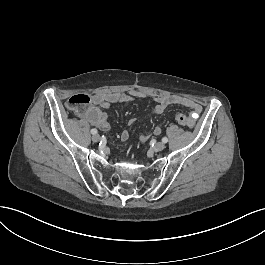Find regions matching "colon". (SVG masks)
<instances>
[{"instance_id": "5ec220e1", "label": "colon", "mask_w": 265, "mask_h": 265, "mask_svg": "<svg viewBox=\"0 0 265 265\" xmlns=\"http://www.w3.org/2000/svg\"><path fill=\"white\" fill-rule=\"evenodd\" d=\"M97 100V95L93 91H88L86 93H80L77 96H67L63 100V105L67 109L78 110L82 106H86L88 104H93ZM177 121L182 126H189L191 124V119L184 115L178 114Z\"/></svg>"}]
</instances>
